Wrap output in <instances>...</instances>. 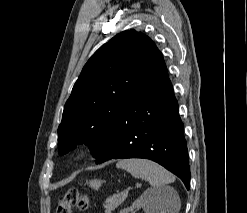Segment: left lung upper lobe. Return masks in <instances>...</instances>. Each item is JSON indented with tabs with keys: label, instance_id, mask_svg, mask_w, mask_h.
Wrapping results in <instances>:
<instances>
[{
	"label": "left lung upper lobe",
	"instance_id": "left-lung-upper-lobe-1",
	"mask_svg": "<svg viewBox=\"0 0 247 213\" xmlns=\"http://www.w3.org/2000/svg\"><path fill=\"white\" fill-rule=\"evenodd\" d=\"M163 61L153 41L135 30L121 32L101 46L85 64L64 106L59 154L85 143L97 158L148 69Z\"/></svg>",
	"mask_w": 247,
	"mask_h": 213
}]
</instances>
